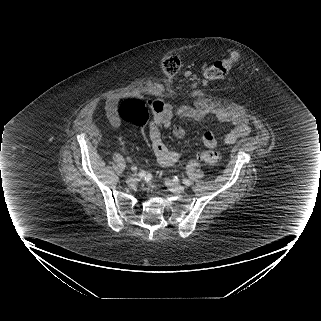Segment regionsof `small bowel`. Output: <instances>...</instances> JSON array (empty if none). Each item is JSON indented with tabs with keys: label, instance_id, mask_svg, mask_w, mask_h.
Here are the masks:
<instances>
[{
	"label": "small bowel",
	"instance_id": "obj_1",
	"mask_svg": "<svg viewBox=\"0 0 321 321\" xmlns=\"http://www.w3.org/2000/svg\"><path fill=\"white\" fill-rule=\"evenodd\" d=\"M118 101V96H112L106 101L108 118L115 127L121 125L117 111ZM149 109L151 111V117L148 123V134L152 151L162 166H171L180 159L182 152L169 149L165 145L162 139V130L171 126L174 117L201 121L207 116L208 110L202 107L173 106L159 99L150 101ZM215 116L220 122L233 125V128L222 136L221 141L223 144H233L240 138L247 136L251 131L248 120L238 112L218 110ZM185 134V130L182 127L176 126L173 128V136L176 139H183ZM202 142L208 148H214L218 145V139L211 131L203 133ZM122 144L126 145L127 140L123 139Z\"/></svg>",
	"mask_w": 321,
	"mask_h": 321
}]
</instances>
